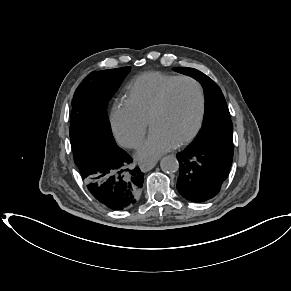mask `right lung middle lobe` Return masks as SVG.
<instances>
[{
	"label": "right lung middle lobe",
	"mask_w": 291,
	"mask_h": 291,
	"mask_svg": "<svg viewBox=\"0 0 291 291\" xmlns=\"http://www.w3.org/2000/svg\"><path fill=\"white\" fill-rule=\"evenodd\" d=\"M129 71L130 67L94 71L76 89L69 129L76 164L97 152L118 147L112 135L107 106Z\"/></svg>",
	"instance_id": "1"
}]
</instances>
